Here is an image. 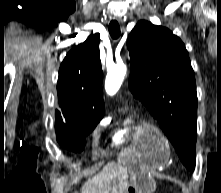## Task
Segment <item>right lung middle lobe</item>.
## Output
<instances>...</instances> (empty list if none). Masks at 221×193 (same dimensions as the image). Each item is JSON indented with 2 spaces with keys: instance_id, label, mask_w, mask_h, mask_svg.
Listing matches in <instances>:
<instances>
[{
  "instance_id": "right-lung-middle-lobe-1",
  "label": "right lung middle lobe",
  "mask_w": 221,
  "mask_h": 193,
  "mask_svg": "<svg viewBox=\"0 0 221 193\" xmlns=\"http://www.w3.org/2000/svg\"><path fill=\"white\" fill-rule=\"evenodd\" d=\"M101 118L102 116L94 115L71 121L56 119L55 129L58 142L69 150L82 151L85 145L84 136L92 132Z\"/></svg>"
}]
</instances>
